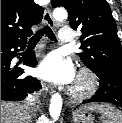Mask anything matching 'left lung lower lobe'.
Here are the masks:
<instances>
[{"label": "left lung lower lobe", "instance_id": "0a47b994", "mask_svg": "<svg viewBox=\"0 0 122 123\" xmlns=\"http://www.w3.org/2000/svg\"><path fill=\"white\" fill-rule=\"evenodd\" d=\"M94 73L100 79V87L93 97L83 103L108 102L122 107V69L108 68Z\"/></svg>", "mask_w": 122, "mask_h": 123}]
</instances>
